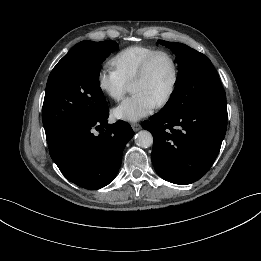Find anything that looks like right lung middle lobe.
Here are the masks:
<instances>
[{
    "label": "right lung middle lobe",
    "mask_w": 261,
    "mask_h": 261,
    "mask_svg": "<svg viewBox=\"0 0 261 261\" xmlns=\"http://www.w3.org/2000/svg\"><path fill=\"white\" fill-rule=\"evenodd\" d=\"M118 47L113 41H82L54 67L43 103L47 141L70 127L88 124L109 109L99 84V66Z\"/></svg>",
    "instance_id": "right-lung-middle-lobe-1"
}]
</instances>
